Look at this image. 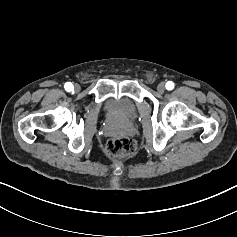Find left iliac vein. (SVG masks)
<instances>
[{
	"mask_svg": "<svg viewBox=\"0 0 237 237\" xmlns=\"http://www.w3.org/2000/svg\"><path fill=\"white\" fill-rule=\"evenodd\" d=\"M157 91L159 93H163L165 91V84L163 82H161L157 85Z\"/></svg>",
	"mask_w": 237,
	"mask_h": 237,
	"instance_id": "1",
	"label": "left iliac vein"
}]
</instances>
